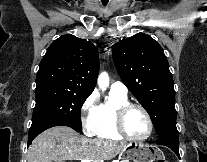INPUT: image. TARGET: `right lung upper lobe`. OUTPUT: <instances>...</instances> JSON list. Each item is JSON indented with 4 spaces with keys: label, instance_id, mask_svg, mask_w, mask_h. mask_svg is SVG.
Returning a JSON list of instances; mask_svg holds the SVG:
<instances>
[{
    "label": "right lung upper lobe",
    "instance_id": "1",
    "mask_svg": "<svg viewBox=\"0 0 207 162\" xmlns=\"http://www.w3.org/2000/svg\"><path fill=\"white\" fill-rule=\"evenodd\" d=\"M99 71L97 48L74 35H62L47 49L36 77V88L57 87L91 94Z\"/></svg>",
    "mask_w": 207,
    "mask_h": 162
}]
</instances>
